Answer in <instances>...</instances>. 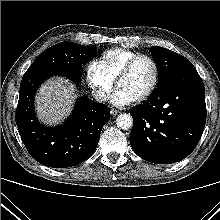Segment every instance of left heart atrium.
<instances>
[{
	"mask_svg": "<svg viewBox=\"0 0 220 220\" xmlns=\"http://www.w3.org/2000/svg\"><path fill=\"white\" fill-rule=\"evenodd\" d=\"M112 103L118 106L128 105L135 99L123 88H116L111 96Z\"/></svg>",
	"mask_w": 220,
	"mask_h": 220,
	"instance_id": "1",
	"label": "left heart atrium"
}]
</instances>
